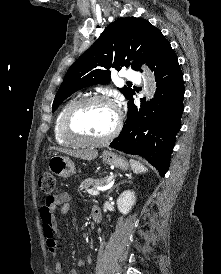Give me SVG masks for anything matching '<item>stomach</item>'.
Segmentation results:
<instances>
[{"label": "stomach", "mask_w": 221, "mask_h": 274, "mask_svg": "<svg viewBox=\"0 0 221 274\" xmlns=\"http://www.w3.org/2000/svg\"><path fill=\"white\" fill-rule=\"evenodd\" d=\"M102 159L110 166L118 167L122 170H127L129 168L128 162L123 157L118 156L111 151H104L102 154ZM48 168L53 174L63 178H69L75 174V165L67 156L55 154L50 157L48 161Z\"/></svg>", "instance_id": "1"}]
</instances>
